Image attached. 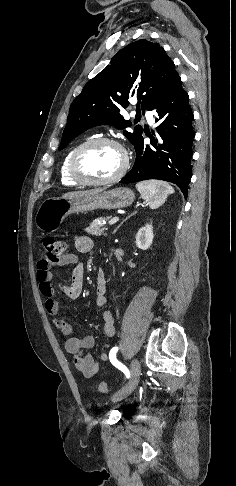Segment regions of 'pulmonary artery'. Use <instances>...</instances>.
<instances>
[{"label":"pulmonary artery","instance_id":"e3ab8cb5","mask_svg":"<svg viewBox=\"0 0 236 486\" xmlns=\"http://www.w3.org/2000/svg\"><path fill=\"white\" fill-rule=\"evenodd\" d=\"M145 116L148 120V122L151 124L153 122V115H152V112L150 111H145Z\"/></svg>","mask_w":236,"mask_h":486}]
</instances>
